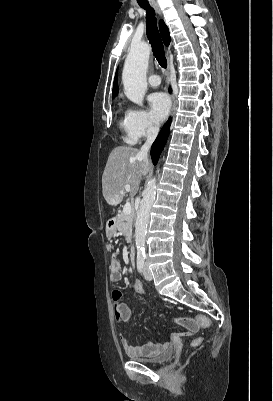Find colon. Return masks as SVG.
Returning <instances> with one entry per match:
<instances>
[{"instance_id": "colon-1", "label": "colon", "mask_w": 273, "mask_h": 401, "mask_svg": "<svg viewBox=\"0 0 273 401\" xmlns=\"http://www.w3.org/2000/svg\"><path fill=\"white\" fill-rule=\"evenodd\" d=\"M130 290L136 289V293L140 294L141 297H144L145 300H148L149 297L152 296L151 292H145L146 290V284L145 283H138L134 285L129 286ZM115 294L117 296H121V290L118 289L115 291ZM152 301V300H150ZM153 304V303H152ZM161 309L159 307L155 308L156 312H159ZM163 313V312H162ZM114 316L116 319L117 323H120L122 321V312L119 307V300H115L114 302ZM200 318H203V315H200ZM181 325L185 327V330L188 333L191 332H199L202 328H211L214 325L213 320L211 319H200L198 322H194L191 319H185L183 322H181ZM206 339V336L204 334H201L199 337H192L191 338V343H190V350L195 351L196 349H199L200 346L203 345V341Z\"/></svg>"}]
</instances>
